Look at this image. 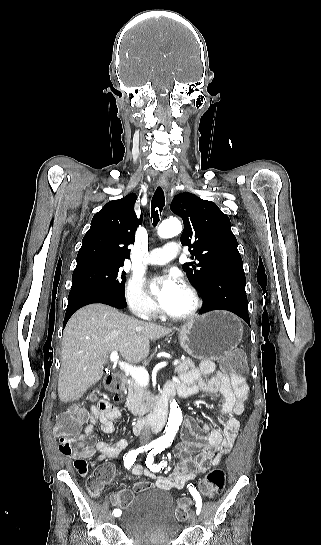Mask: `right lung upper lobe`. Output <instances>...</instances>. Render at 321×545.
<instances>
[{"mask_svg":"<svg viewBox=\"0 0 321 545\" xmlns=\"http://www.w3.org/2000/svg\"><path fill=\"white\" fill-rule=\"evenodd\" d=\"M136 195L108 202L91 221L82 240L76 268L96 265H120L130 258L129 244L134 243L135 231L142 223L134 211Z\"/></svg>","mask_w":321,"mask_h":545,"instance_id":"cb5924a9","label":"right lung upper lobe"}]
</instances>
